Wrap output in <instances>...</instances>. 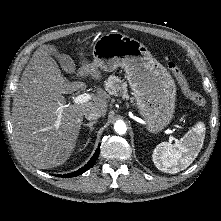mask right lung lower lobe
<instances>
[{
  "label": "right lung lower lobe",
  "instance_id": "98d812e1",
  "mask_svg": "<svg viewBox=\"0 0 221 221\" xmlns=\"http://www.w3.org/2000/svg\"><path fill=\"white\" fill-rule=\"evenodd\" d=\"M99 146L98 148L96 149L94 155L92 156V158L90 159V161L82 168H80L79 170L75 171V172H72V173H69V174H64V175H56L58 177H66V178H70V177H76V176H79L81 175L82 173H84L85 171H87L88 169H90L91 167L94 166L95 162H96V159L97 157L99 156Z\"/></svg>",
  "mask_w": 221,
  "mask_h": 221
}]
</instances>
